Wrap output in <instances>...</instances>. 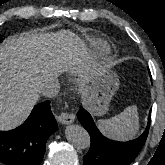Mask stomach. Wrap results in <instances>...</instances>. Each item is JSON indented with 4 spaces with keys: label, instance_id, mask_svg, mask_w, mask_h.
Returning a JSON list of instances; mask_svg holds the SVG:
<instances>
[{
    "label": "stomach",
    "instance_id": "obj_1",
    "mask_svg": "<svg viewBox=\"0 0 165 165\" xmlns=\"http://www.w3.org/2000/svg\"><path fill=\"white\" fill-rule=\"evenodd\" d=\"M119 85L117 74L110 69L92 74L83 91L87 109L95 116L106 114Z\"/></svg>",
    "mask_w": 165,
    "mask_h": 165
}]
</instances>
